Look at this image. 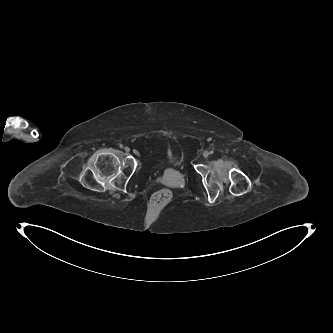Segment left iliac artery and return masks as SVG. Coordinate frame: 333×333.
<instances>
[{
	"mask_svg": "<svg viewBox=\"0 0 333 333\" xmlns=\"http://www.w3.org/2000/svg\"><path fill=\"white\" fill-rule=\"evenodd\" d=\"M213 153H214V151H213V150H211V151H210V154H213Z\"/></svg>",
	"mask_w": 333,
	"mask_h": 333,
	"instance_id": "1",
	"label": "left iliac artery"
}]
</instances>
